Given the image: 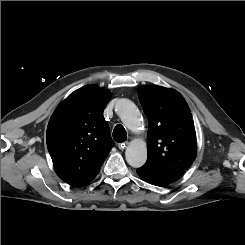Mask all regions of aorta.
<instances>
[{"mask_svg":"<svg viewBox=\"0 0 245 245\" xmlns=\"http://www.w3.org/2000/svg\"><path fill=\"white\" fill-rule=\"evenodd\" d=\"M116 111L123 124L132 132H139L143 127L141 114L137 106L129 99H120L116 104ZM125 157L127 163L138 168L147 160V147L143 141H132L126 148Z\"/></svg>","mask_w":245,"mask_h":245,"instance_id":"aorta-1","label":"aorta"}]
</instances>
